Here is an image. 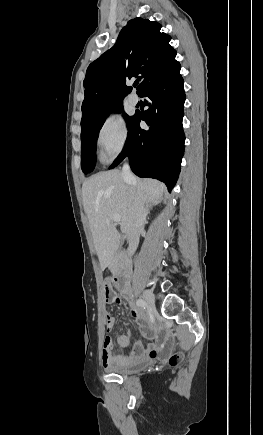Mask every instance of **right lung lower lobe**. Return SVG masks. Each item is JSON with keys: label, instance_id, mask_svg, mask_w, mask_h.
I'll list each match as a JSON object with an SVG mask.
<instances>
[{"label": "right lung lower lobe", "instance_id": "right-lung-lower-lobe-1", "mask_svg": "<svg viewBox=\"0 0 263 435\" xmlns=\"http://www.w3.org/2000/svg\"><path fill=\"white\" fill-rule=\"evenodd\" d=\"M180 68L176 63L140 94L149 98V108L134 115L128 127L126 146L110 166V169L116 167L127 156L136 175L158 179L169 191L176 184L184 154L182 118L185 92ZM141 120L149 129L140 128Z\"/></svg>", "mask_w": 263, "mask_h": 435}]
</instances>
